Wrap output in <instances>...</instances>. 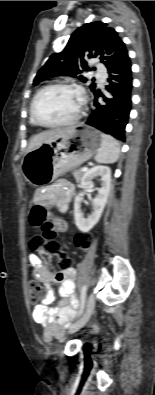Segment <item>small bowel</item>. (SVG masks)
I'll list each match as a JSON object with an SVG mask.
<instances>
[{
  "label": "small bowel",
  "mask_w": 155,
  "mask_h": 395,
  "mask_svg": "<svg viewBox=\"0 0 155 395\" xmlns=\"http://www.w3.org/2000/svg\"><path fill=\"white\" fill-rule=\"evenodd\" d=\"M73 192L72 184L60 180L38 191V203L42 207L56 204L61 208H66L71 201ZM52 224L59 231L66 229V223L59 218H53ZM29 262L35 279L41 282L46 290L42 303L35 306L33 310V319L44 327L43 339L46 342L53 338L63 339L65 328L68 327L76 312L77 300L73 295L76 270L75 272H64L63 269L53 271L36 254L29 255ZM53 284L59 285L58 293L65 300V303L58 307H50L55 298Z\"/></svg>",
  "instance_id": "1"
}]
</instances>
